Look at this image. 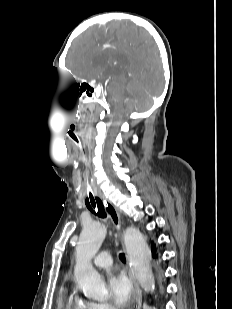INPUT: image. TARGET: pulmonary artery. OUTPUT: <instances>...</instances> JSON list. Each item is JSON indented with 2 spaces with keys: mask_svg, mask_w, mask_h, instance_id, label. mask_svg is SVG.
<instances>
[{
  "mask_svg": "<svg viewBox=\"0 0 232 309\" xmlns=\"http://www.w3.org/2000/svg\"><path fill=\"white\" fill-rule=\"evenodd\" d=\"M94 263L98 268H107L111 266L112 260L110 253L109 252L102 253L96 258Z\"/></svg>",
  "mask_w": 232,
  "mask_h": 309,
  "instance_id": "pulmonary-artery-1",
  "label": "pulmonary artery"
}]
</instances>
